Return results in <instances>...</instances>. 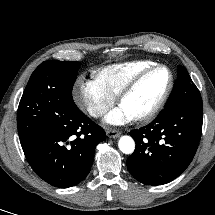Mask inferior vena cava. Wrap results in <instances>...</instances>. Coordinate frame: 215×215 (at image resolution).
<instances>
[{
  "mask_svg": "<svg viewBox=\"0 0 215 215\" xmlns=\"http://www.w3.org/2000/svg\"><path fill=\"white\" fill-rule=\"evenodd\" d=\"M103 114V111H96L94 112V116H100Z\"/></svg>",
  "mask_w": 215,
  "mask_h": 215,
  "instance_id": "602c4592",
  "label": "inferior vena cava"
}]
</instances>
